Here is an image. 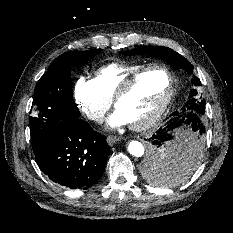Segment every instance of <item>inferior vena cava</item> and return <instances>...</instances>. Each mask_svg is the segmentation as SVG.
Returning a JSON list of instances; mask_svg holds the SVG:
<instances>
[{
    "label": "inferior vena cava",
    "mask_w": 233,
    "mask_h": 233,
    "mask_svg": "<svg viewBox=\"0 0 233 233\" xmlns=\"http://www.w3.org/2000/svg\"><path fill=\"white\" fill-rule=\"evenodd\" d=\"M92 119L95 121H102L103 114H94V115H92Z\"/></svg>",
    "instance_id": "obj_1"
}]
</instances>
